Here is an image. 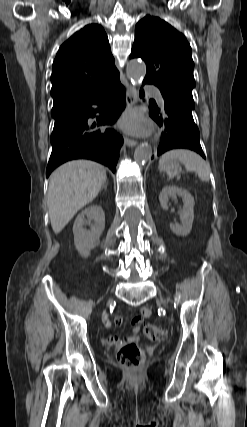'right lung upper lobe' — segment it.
<instances>
[{"label": "right lung upper lobe", "instance_id": "obj_1", "mask_svg": "<svg viewBox=\"0 0 247 427\" xmlns=\"http://www.w3.org/2000/svg\"><path fill=\"white\" fill-rule=\"evenodd\" d=\"M119 80L104 29L89 24L60 47L52 67L53 106L93 97Z\"/></svg>", "mask_w": 247, "mask_h": 427}]
</instances>
